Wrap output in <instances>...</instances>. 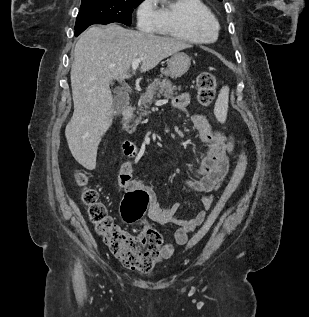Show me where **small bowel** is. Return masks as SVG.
Segmentation results:
<instances>
[{
	"mask_svg": "<svg viewBox=\"0 0 309 317\" xmlns=\"http://www.w3.org/2000/svg\"><path fill=\"white\" fill-rule=\"evenodd\" d=\"M190 96L184 92L173 99V107L184 111L188 106ZM191 121L198 131L202 143L201 151L196 157V165L193 171L196 178L190 179L187 186L194 192L201 193L203 209L189 220L178 216L180 204L174 203L169 207H163L157 200L155 194L147 187L144 181L132 177L133 163L125 162L118 175V185L123 192L144 191L148 195V216L159 224L172 223L178 228L174 234L173 242L165 244L161 248L157 261H163L172 257L175 245H185L188 241V234L201 226L215 202L216 193L221 189L222 184L228 177L229 159L228 155L236 151V140L229 132L215 129L207 118L200 114H194ZM147 228V223L142 222L141 232Z\"/></svg>",
	"mask_w": 309,
	"mask_h": 317,
	"instance_id": "obj_1",
	"label": "small bowel"
}]
</instances>
